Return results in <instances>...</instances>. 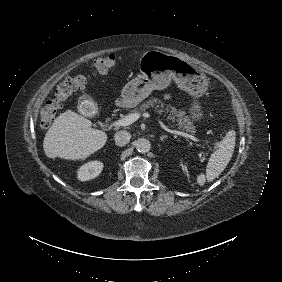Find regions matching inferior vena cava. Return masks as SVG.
<instances>
[{
	"label": "inferior vena cava",
	"instance_id": "inferior-vena-cava-1",
	"mask_svg": "<svg viewBox=\"0 0 282 282\" xmlns=\"http://www.w3.org/2000/svg\"><path fill=\"white\" fill-rule=\"evenodd\" d=\"M130 138H131V134L128 131L121 130L115 134L114 140L117 145L123 146L130 141Z\"/></svg>",
	"mask_w": 282,
	"mask_h": 282
}]
</instances>
